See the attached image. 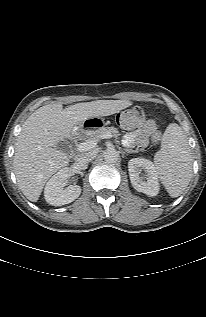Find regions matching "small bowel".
I'll use <instances>...</instances> for the list:
<instances>
[{"label": "small bowel", "mask_w": 206, "mask_h": 317, "mask_svg": "<svg viewBox=\"0 0 206 317\" xmlns=\"http://www.w3.org/2000/svg\"><path fill=\"white\" fill-rule=\"evenodd\" d=\"M156 130V121L149 119L143 124L141 128L127 133L124 136V144L128 147H145L149 142V138L152 135H155Z\"/></svg>", "instance_id": "obj_1"}]
</instances>
